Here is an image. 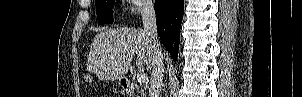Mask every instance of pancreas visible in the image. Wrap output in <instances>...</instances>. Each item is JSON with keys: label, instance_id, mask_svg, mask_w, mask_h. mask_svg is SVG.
Returning <instances> with one entry per match:
<instances>
[{"label": "pancreas", "instance_id": "pancreas-1", "mask_svg": "<svg viewBox=\"0 0 302 97\" xmlns=\"http://www.w3.org/2000/svg\"><path fill=\"white\" fill-rule=\"evenodd\" d=\"M135 89H136V97H142V92L140 91V87L139 86H135Z\"/></svg>", "mask_w": 302, "mask_h": 97}]
</instances>
